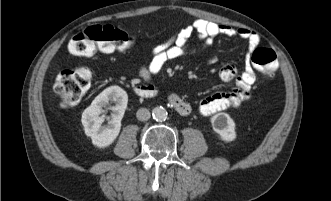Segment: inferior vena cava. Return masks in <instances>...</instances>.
Listing matches in <instances>:
<instances>
[{
  "instance_id": "602c4592",
  "label": "inferior vena cava",
  "mask_w": 331,
  "mask_h": 201,
  "mask_svg": "<svg viewBox=\"0 0 331 201\" xmlns=\"http://www.w3.org/2000/svg\"><path fill=\"white\" fill-rule=\"evenodd\" d=\"M136 117L140 121H147L151 117V113L146 108H140L136 113Z\"/></svg>"
}]
</instances>
